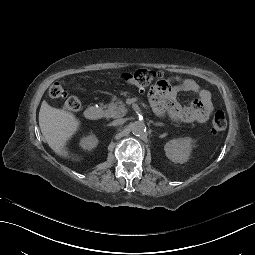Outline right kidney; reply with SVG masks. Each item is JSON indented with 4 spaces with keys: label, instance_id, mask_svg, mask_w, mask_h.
Wrapping results in <instances>:
<instances>
[{
    "label": "right kidney",
    "instance_id": "1",
    "mask_svg": "<svg viewBox=\"0 0 255 255\" xmlns=\"http://www.w3.org/2000/svg\"><path fill=\"white\" fill-rule=\"evenodd\" d=\"M97 144V140L95 139V137L91 136L88 138H85L81 141V146L84 149H91L94 148Z\"/></svg>",
    "mask_w": 255,
    "mask_h": 255
}]
</instances>
